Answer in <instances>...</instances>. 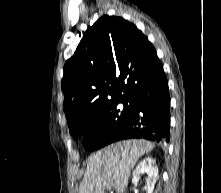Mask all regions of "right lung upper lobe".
Instances as JSON below:
<instances>
[{"label":"right lung upper lobe","mask_w":221,"mask_h":193,"mask_svg":"<svg viewBox=\"0 0 221 193\" xmlns=\"http://www.w3.org/2000/svg\"><path fill=\"white\" fill-rule=\"evenodd\" d=\"M160 64L148 38L121 17L104 15L84 33L66 62L61 82L63 109L69 124L133 97Z\"/></svg>","instance_id":"right-lung-upper-lobe-1"}]
</instances>
